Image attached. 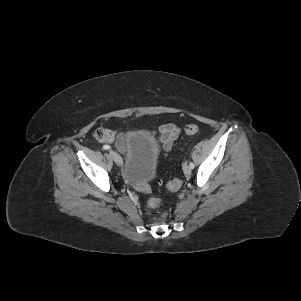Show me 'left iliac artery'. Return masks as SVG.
<instances>
[{
    "mask_svg": "<svg viewBox=\"0 0 301 301\" xmlns=\"http://www.w3.org/2000/svg\"><path fill=\"white\" fill-rule=\"evenodd\" d=\"M189 166H190L191 169H193L194 168V163L190 162Z\"/></svg>",
    "mask_w": 301,
    "mask_h": 301,
    "instance_id": "obj_1",
    "label": "left iliac artery"
}]
</instances>
